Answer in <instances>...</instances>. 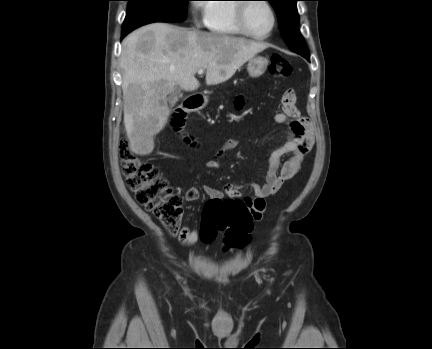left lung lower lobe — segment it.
<instances>
[{
  "label": "left lung lower lobe",
  "mask_w": 432,
  "mask_h": 349,
  "mask_svg": "<svg viewBox=\"0 0 432 349\" xmlns=\"http://www.w3.org/2000/svg\"><path fill=\"white\" fill-rule=\"evenodd\" d=\"M300 55H302V56L305 57L308 61H310L309 54H300Z\"/></svg>",
  "instance_id": "1"
}]
</instances>
